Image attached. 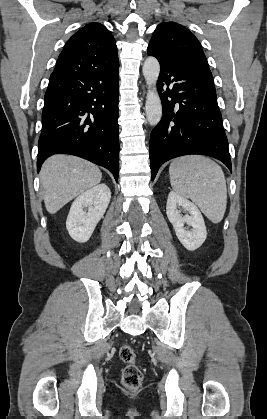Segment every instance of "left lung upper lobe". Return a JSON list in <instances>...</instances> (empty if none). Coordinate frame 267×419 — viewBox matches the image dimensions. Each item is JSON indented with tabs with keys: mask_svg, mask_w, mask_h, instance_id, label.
Masks as SVG:
<instances>
[{
	"mask_svg": "<svg viewBox=\"0 0 267 419\" xmlns=\"http://www.w3.org/2000/svg\"><path fill=\"white\" fill-rule=\"evenodd\" d=\"M147 51L162 61L180 63L211 73L200 42L178 23L159 24L153 32Z\"/></svg>",
	"mask_w": 267,
	"mask_h": 419,
	"instance_id": "1",
	"label": "left lung upper lobe"
}]
</instances>
